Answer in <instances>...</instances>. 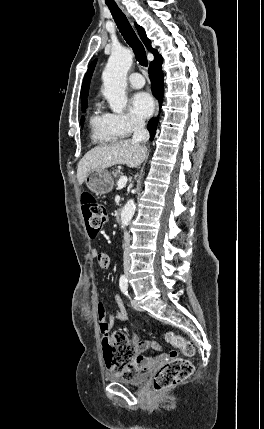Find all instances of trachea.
Listing matches in <instances>:
<instances>
[{
    "label": "trachea",
    "instance_id": "3493384b",
    "mask_svg": "<svg viewBox=\"0 0 264 429\" xmlns=\"http://www.w3.org/2000/svg\"><path fill=\"white\" fill-rule=\"evenodd\" d=\"M107 6L122 36L124 37L128 45L133 49L136 60L141 66L147 67L148 60L144 46L138 39L126 16L122 13V11L118 8L116 4L107 3Z\"/></svg>",
    "mask_w": 264,
    "mask_h": 429
}]
</instances>
